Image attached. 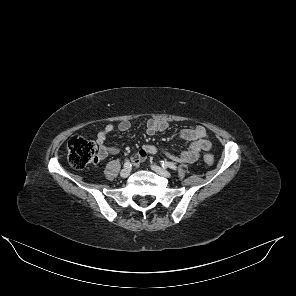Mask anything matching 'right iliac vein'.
<instances>
[{"label": "right iliac vein", "mask_w": 296, "mask_h": 296, "mask_svg": "<svg viewBox=\"0 0 296 296\" xmlns=\"http://www.w3.org/2000/svg\"><path fill=\"white\" fill-rule=\"evenodd\" d=\"M129 175H130V170L128 168H125L120 172V176L123 178H127Z\"/></svg>", "instance_id": "right-iliac-vein-1"}]
</instances>
